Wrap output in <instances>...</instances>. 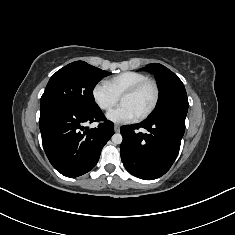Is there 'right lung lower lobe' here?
I'll use <instances>...</instances> for the list:
<instances>
[{
	"instance_id": "98d812e1",
	"label": "right lung lower lobe",
	"mask_w": 235,
	"mask_h": 235,
	"mask_svg": "<svg viewBox=\"0 0 235 235\" xmlns=\"http://www.w3.org/2000/svg\"><path fill=\"white\" fill-rule=\"evenodd\" d=\"M94 121H101L97 128L83 126ZM39 127L50 163L67 177L89 172L114 134V124L106 120L98 106L83 111L63 106L40 108Z\"/></svg>"
}]
</instances>
